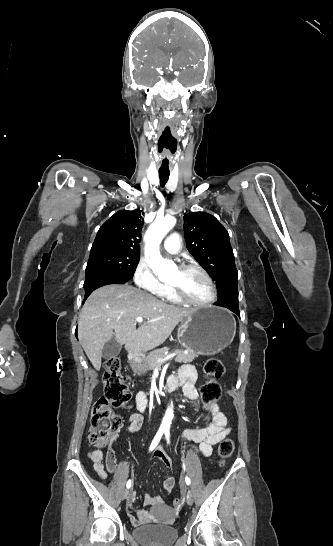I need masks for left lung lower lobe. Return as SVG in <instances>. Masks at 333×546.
Segmentation results:
<instances>
[{
    "mask_svg": "<svg viewBox=\"0 0 333 546\" xmlns=\"http://www.w3.org/2000/svg\"><path fill=\"white\" fill-rule=\"evenodd\" d=\"M215 305L226 307L238 316H240L239 307H238V292H235L232 294V297L228 300H224L223 302H216Z\"/></svg>",
    "mask_w": 333,
    "mask_h": 546,
    "instance_id": "0a47b994",
    "label": "left lung lower lobe"
}]
</instances>
